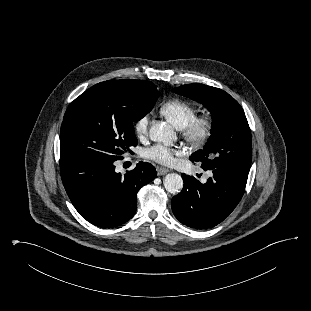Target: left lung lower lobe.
<instances>
[{"label":"left lung lower lobe","mask_w":311,"mask_h":311,"mask_svg":"<svg viewBox=\"0 0 311 311\" xmlns=\"http://www.w3.org/2000/svg\"><path fill=\"white\" fill-rule=\"evenodd\" d=\"M203 169L212 177L202 184L183 174V190L171 202L175 217L195 229L212 228L229 216L244 194L249 173L225 167Z\"/></svg>","instance_id":"obj_1"}]
</instances>
